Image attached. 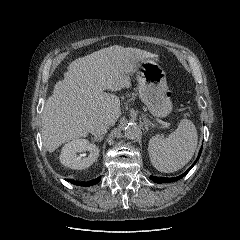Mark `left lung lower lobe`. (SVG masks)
<instances>
[{
    "mask_svg": "<svg viewBox=\"0 0 240 240\" xmlns=\"http://www.w3.org/2000/svg\"><path fill=\"white\" fill-rule=\"evenodd\" d=\"M201 151H202V148L200 149L199 151V154H198V157L196 159V161L193 163V165L187 170L185 171L182 175L178 176V177H174V178H162V177H154V176H150V179L153 181V182H156V183H169V182H174V181H177L181 178H183L189 171L190 169L195 165V163L197 162V160L199 159L200 155H201Z\"/></svg>",
    "mask_w": 240,
    "mask_h": 240,
    "instance_id": "1",
    "label": "left lung lower lobe"
}]
</instances>
